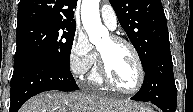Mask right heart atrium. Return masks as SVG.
<instances>
[{
  "label": "right heart atrium",
  "mask_w": 193,
  "mask_h": 112,
  "mask_svg": "<svg viewBox=\"0 0 193 112\" xmlns=\"http://www.w3.org/2000/svg\"><path fill=\"white\" fill-rule=\"evenodd\" d=\"M96 63V52L86 35L80 31L74 34L69 51V67L77 77L87 75Z\"/></svg>",
  "instance_id": "obj_1"
}]
</instances>
